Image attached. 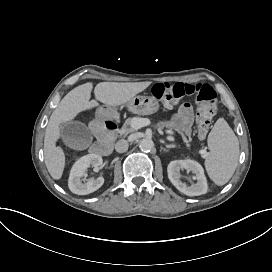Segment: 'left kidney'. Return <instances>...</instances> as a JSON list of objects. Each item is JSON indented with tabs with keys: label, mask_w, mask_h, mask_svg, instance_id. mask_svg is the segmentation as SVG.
I'll list each match as a JSON object with an SVG mask.
<instances>
[{
	"label": "left kidney",
	"mask_w": 272,
	"mask_h": 272,
	"mask_svg": "<svg viewBox=\"0 0 272 272\" xmlns=\"http://www.w3.org/2000/svg\"><path fill=\"white\" fill-rule=\"evenodd\" d=\"M185 169L195 175L196 184L187 186L182 182L180 171ZM168 177L172 184L187 196H199L207 192V183L203 168L192 160H175L171 161L167 167Z\"/></svg>",
	"instance_id": "left-kidney-1"
}]
</instances>
